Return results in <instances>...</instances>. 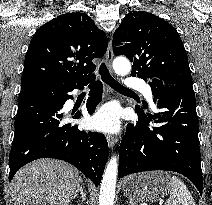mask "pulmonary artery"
Segmentation results:
<instances>
[{"label":"pulmonary artery","mask_w":212,"mask_h":205,"mask_svg":"<svg viewBox=\"0 0 212 205\" xmlns=\"http://www.w3.org/2000/svg\"><path fill=\"white\" fill-rule=\"evenodd\" d=\"M126 86L128 89L131 90L132 89L139 90L149 101H152L153 94L151 87L143 80L129 78L126 82Z\"/></svg>","instance_id":"obj_1"}]
</instances>
